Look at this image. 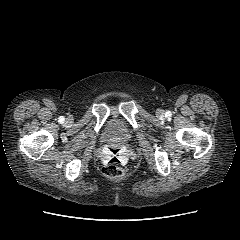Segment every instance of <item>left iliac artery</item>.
<instances>
[{
	"mask_svg": "<svg viewBox=\"0 0 240 240\" xmlns=\"http://www.w3.org/2000/svg\"><path fill=\"white\" fill-rule=\"evenodd\" d=\"M165 116H166V117H170V116H171V112H169V111L166 112Z\"/></svg>",
	"mask_w": 240,
	"mask_h": 240,
	"instance_id": "obj_1",
	"label": "left iliac artery"
}]
</instances>
